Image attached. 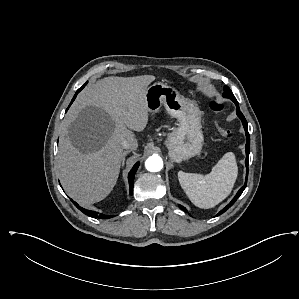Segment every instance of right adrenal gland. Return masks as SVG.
Returning a JSON list of instances; mask_svg holds the SVG:
<instances>
[{
  "instance_id": "right-adrenal-gland-1",
  "label": "right adrenal gland",
  "mask_w": 299,
  "mask_h": 299,
  "mask_svg": "<svg viewBox=\"0 0 299 299\" xmlns=\"http://www.w3.org/2000/svg\"><path fill=\"white\" fill-rule=\"evenodd\" d=\"M129 152H130V151H124V153H123V158H122V166H124L125 157H126V155H127Z\"/></svg>"
}]
</instances>
